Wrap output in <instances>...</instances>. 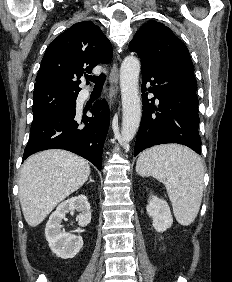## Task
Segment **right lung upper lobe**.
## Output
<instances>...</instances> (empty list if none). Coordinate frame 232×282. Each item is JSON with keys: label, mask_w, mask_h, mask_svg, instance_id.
<instances>
[{"label": "right lung upper lobe", "mask_w": 232, "mask_h": 282, "mask_svg": "<svg viewBox=\"0 0 232 282\" xmlns=\"http://www.w3.org/2000/svg\"><path fill=\"white\" fill-rule=\"evenodd\" d=\"M112 45L91 21L74 24L55 38L44 54L34 91L58 90L78 94L80 77L112 60Z\"/></svg>", "instance_id": "right-lung-upper-lobe-1"}]
</instances>
